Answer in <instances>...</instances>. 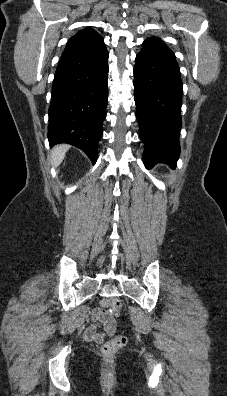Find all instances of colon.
Returning <instances> with one entry per match:
<instances>
[{"label":"colon","instance_id":"obj_1","mask_svg":"<svg viewBox=\"0 0 227 396\" xmlns=\"http://www.w3.org/2000/svg\"><path fill=\"white\" fill-rule=\"evenodd\" d=\"M122 309V301L119 298H115L112 300L109 312L115 316L118 317L120 315ZM127 343V338L124 335H117L110 341L106 342L102 346V352L110 356L114 354L117 350L125 346Z\"/></svg>","mask_w":227,"mask_h":396}]
</instances>
